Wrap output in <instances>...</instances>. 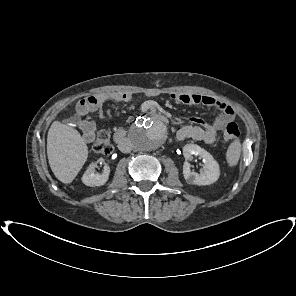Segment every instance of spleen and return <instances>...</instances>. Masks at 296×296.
Returning a JSON list of instances; mask_svg holds the SVG:
<instances>
[{
    "label": "spleen",
    "mask_w": 296,
    "mask_h": 296,
    "mask_svg": "<svg viewBox=\"0 0 296 296\" xmlns=\"http://www.w3.org/2000/svg\"><path fill=\"white\" fill-rule=\"evenodd\" d=\"M241 155V143L240 140L235 139L228 147L226 152V159L229 166H235Z\"/></svg>",
    "instance_id": "spleen-1"
}]
</instances>
